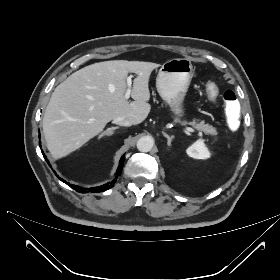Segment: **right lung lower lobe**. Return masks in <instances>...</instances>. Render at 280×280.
<instances>
[{
    "instance_id": "98d812e1",
    "label": "right lung lower lobe",
    "mask_w": 280,
    "mask_h": 280,
    "mask_svg": "<svg viewBox=\"0 0 280 280\" xmlns=\"http://www.w3.org/2000/svg\"><path fill=\"white\" fill-rule=\"evenodd\" d=\"M40 143V142H39ZM40 147H41V144H40ZM43 153V151H42ZM45 159H46V156L44 155ZM124 156L121 157L120 159V163H119V166H118V169L116 171V176H115V179L107 184H104V185H101V186H98V187H93V188H89V189H85V188H82V187H79V186H76V185H72L70 183H67L66 181H64L63 179L59 178L57 175V177L63 181L64 183H67L71 188H73L74 190H76L77 192H80V193H86V192H103V191H106L107 189H110L114 186V183L116 182V179L118 178V176L121 174L122 172V168H123V164H124ZM46 161L48 162V160L46 159ZM56 174V173H55Z\"/></svg>"
}]
</instances>
